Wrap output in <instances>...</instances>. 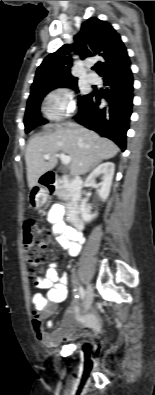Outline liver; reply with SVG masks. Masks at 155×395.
Segmentation results:
<instances>
[{
  "label": "liver",
  "mask_w": 155,
  "mask_h": 395,
  "mask_svg": "<svg viewBox=\"0 0 155 395\" xmlns=\"http://www.w3.org/2000/svg\"><path fill=\"white\" fill-rule=\"evenodd\" d=\"M44 128L53 129V132L31 138L26 149L30 189L38 184L42 175L56 166L58 152L71 157L70 172L73 175L85 174L99 162L113 158L119 152L113 141L74 122L48 124ZM45 154L50 155L47 161L44 159Z\"/></svg>",
  "instance_id": "6515ba94"
}]
</instances>
